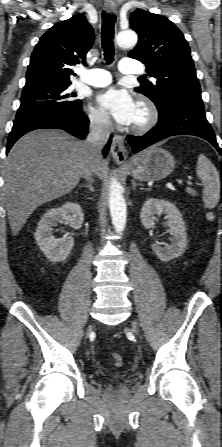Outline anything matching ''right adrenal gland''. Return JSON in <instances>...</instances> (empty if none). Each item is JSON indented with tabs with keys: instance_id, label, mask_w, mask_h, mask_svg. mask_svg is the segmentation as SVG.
I'll use <instances>...</instances> for the list:
<instances>
[{
	"instance_id": "1",
	"label": "right adrenal gland",
	"mask_w": 222,
	"mask_h": 447,
	"mask_svg": "<svg viewBox=\"0 0 222 447\" xmlns=\"http://www.w3.org/2000/svg\"><path fill=\"white\" fill-rule=\"evenodd\" d=\"M87 181H88L87 184H82V185H80V187H86V188H88L91 192H94V188H93V179L88 178Z\"/></svg>"
}]
</instances>
